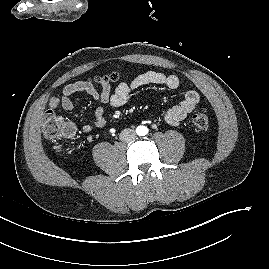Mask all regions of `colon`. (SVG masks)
Instances as JSON below:
<instances>
[{"label": "colon", "mask_w": 269, "mask_h": 269, "mask_svg": "<svg viewBox=\"0 0 269 269\" xmlns=\"http://www.w3.org/2000/svg\"><path fill=\"white\" fill-rule=\"evenodd\" d=\"M120 78L121 77L119 74L113 73L101 77V79L97 81L102 80L110 84L111 82L119 81ZM192 123L198 132L206 131L209 127V117L207 111L205 109H201L195 113L192 118ZM67 125L68 123L61 116L48 111L43 118L42 131L47 138L58 139L66 136Z\"/></svg>", "instance_id": "obj_1"}]
</instances>
